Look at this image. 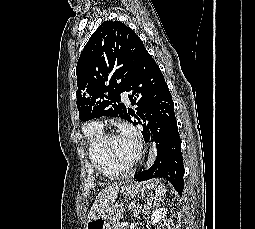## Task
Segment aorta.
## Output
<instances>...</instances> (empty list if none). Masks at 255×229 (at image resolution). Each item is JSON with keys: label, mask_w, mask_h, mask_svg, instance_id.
Returning <instances> with one entry per match:
<instances>
[{"label": "aorta", "mask_w": 255, "mask_h": 229, "mask_svg": "<svg viewBox=\"0 0 255 229\" xmlns=\"http://www.w3.org/2000/svg\"><path fill=\"white\" fill-rule=\"evenodd\" d=\"M155 156H156V147L155 145H153L149 151V157L146 163V168H149L153 164Z\"/></svg>", "instance_id": "1"}]
</instances>
